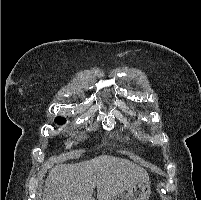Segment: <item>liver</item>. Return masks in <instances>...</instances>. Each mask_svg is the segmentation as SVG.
I'll use <instances>...</instances> for the list:
<instances>
[{
	"label": "liver",
	"instance_id": "obj_1",
	"mask_svg": "<svg viewBox=\"0 0 201 200\" xmlns=\"http://www.w3.org/2000/svg\"><path fill=\"white\" fill-rule=\"evenodd\" d=\"M140 180L149 181L147 171L123 158L100 155L75 164H58L45 181L42 200H111Z\"/></svg>",
	"mask_w": 201,
	"mask_h": 200
}]
</instances>
